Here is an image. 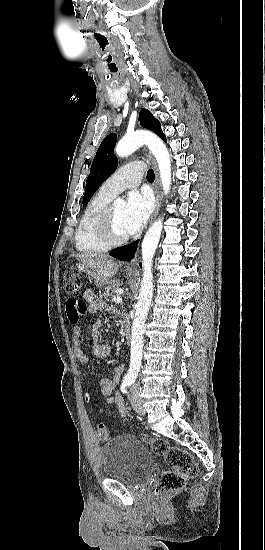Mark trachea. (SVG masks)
I'll use <instances>...</instances> for the list:
<instances>
[{
    "label": "trachea",
    "instance_id": "trachea-1",
    "mask_svg": "<svg viewBox=\"0 0 265 550\" xmlns=\"http://www.w3.org/2000/svg\"><path fill=\"white\" fill-rule=\"evenodd\" d=\"M146 178H147L148 181H154L155 174H154V171L152 169L148 170Z\"/></svg>",
    "mask_w": 265,
    "mask_h": 550
}]
</instances>
